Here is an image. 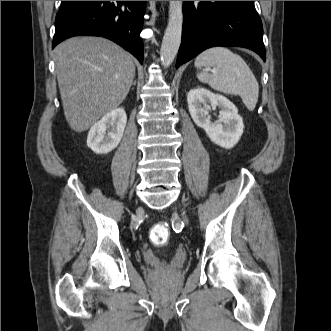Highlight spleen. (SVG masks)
<instances>
[{
	"label": "spleen",
	"instance_id": "3e777b00",
	"mask_svg": "<svg viewBox=\"0 0 331 331\" xmlns=\"http://www.w3.org/2000/svg\"><path fill=\"white\" fill-rule=\"evenodd\" d=\"M195 67H213V73H197L200 82L207 83L214 90L239 95L249 111L256 107L259 84L246 62L238 54L225 47H212L195 59Z\"/></svg>",
	"mask_w": 331,
	"mask_h": 331
}]
</instances>
